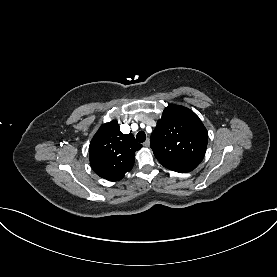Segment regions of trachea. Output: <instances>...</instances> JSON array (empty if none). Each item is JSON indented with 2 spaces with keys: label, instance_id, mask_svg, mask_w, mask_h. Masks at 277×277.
Returning a JSON list of instances; mask_svg holds the SVG:
<instances>
[{
  "label": "trachea",
  "instance_id": "obj_1",
  "mask_svg": "<svg viewBox=\"0 0 277 277\" xmlns=\"http://www.w3.org/2000/svg\"><path fill=\"white\" fill-rule=\"evenodd\" d=\"M136 139L139 143H142L146 140V134L143 131H139L136 135Z\"/></svg>",
  "mask_w": 277,
  "mask_h": 277
}]
</instances>
